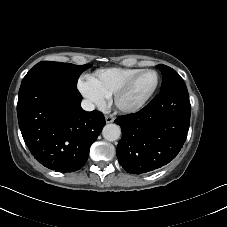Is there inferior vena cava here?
<instances>
[{"mask_svg": "<svg viewBox=\"0 0 227 227\" xmlns=\"http://www.w3.org/2000/svg\"><path fill=\"white\" fill-rule=\"evenodd\" d=\"M81 106L85 111H93L95 109V105L87 99L82 101Z\"/></svg>", "mask_w": 227, "mask_h": 227, "instance_id": "602c4592", "label": "inferior vena cava"}]
</instances>
